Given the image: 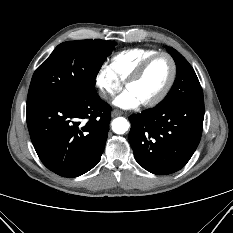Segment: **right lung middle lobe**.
Wrapping results in <instances>:
<instances>
[{
	"mask_svg": "<svg viewBox=\"0 0 233 233\" xmlns=\"http://www.w3.org/2000/svg\"><path fill=\"white\" fill-rule=\"evenodd\" d=\"M115 45L113 41L100 39L67 41L58 45L35 71L27 105L94 89L100 67Z\"/></svg>",
	"mask_w": 233,
	"mask_h": 233,
	"instance_id": "1",
	"label": "right lung middle lobe"
}]
</instances>
